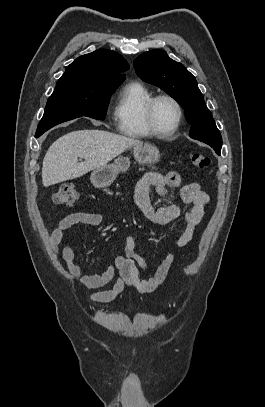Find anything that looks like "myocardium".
<instances>
[{"label":"myocardium","mask_w":265,"mask_h":407,"mask_svg":"<svg viewBox=\"0 0 265 407\" xmlns=\"http://www.w3.org/2000/svg\"><path fill=\"white\" fill-rule=\"evenodd\" d=\"M161 100H169L170 102H172L174 104V106L177 109V120L176 123L174 124V126L166 131H163L161 129L158 128L156 121H155V110H156V106L158 104L159 101ZM183 107L181 105V103L172 95L169 94H160V95H156L154 96L149 103L146 106L145 109V119H146V123L150 129V131L152 132L153 135L155 136H159V137H168L173 135L174 133H176V131L179 129L182 119H183Z\"/></svg>","instance_id":"obj_1"}]
</instances>
